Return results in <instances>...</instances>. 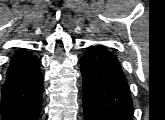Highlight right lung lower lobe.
<instances>
[{
  "mask_svg": "<svg viewBox=\"0 0 165 120\" xmlns=\"http://www.w3.org/2000/svg\"><path fill=\"white\" fill-rule=\"evenodd\" d=\"M40 67L26 50L14 54L1 90V120H38L44 92Z\"/></svg>",
  "mask_w": 165,
  "mask_h": 120,
  "instance_id": "1",
  "label": "right lung lower lobe"
}]
</instances>
